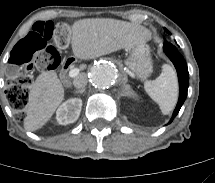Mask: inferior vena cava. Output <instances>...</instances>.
<instances>
[{
	"mask_svg": "<svg viewBox=\"0 0 215 183\" xmlns=\"http://www.w3.org/2000/svg\"><path fill=\"white\" fill-rule=\"evenodd\" d=\"M87 82V76L85 74H80L74 79L73 84L75 88L82 89L87 85Z\"/></svg>",
	"mask_w": 215,
	"mask_h": 183,
	"instance_id": "602c4592",
	"label": "inferior vena cava"
}]
</instances>
